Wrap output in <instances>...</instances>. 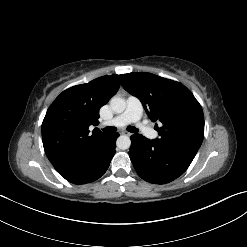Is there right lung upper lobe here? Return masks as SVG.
Instances as JSON below:
<instances>
[{
	"mask_svg": "<svg viewBox=\"0 0 247 247\" xmlns=\"http://www.w3.org/2000/svg\"><path fill=\"white\" fill-rule=\"evenodd\" d=\"M120 87V76L111 75L63 91L47 110L42 123L45 153L53 166L85 154L105 134L97 125L99 109Z\"/></svg>",
	"mask_w": 247,
	"mask_h": 247,
	"instance_id": "obj_1",
	"label": "right lung upper lobe"
}]
</instances>
